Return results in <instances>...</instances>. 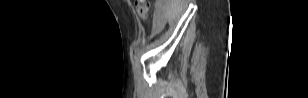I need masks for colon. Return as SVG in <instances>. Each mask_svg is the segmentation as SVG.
<instances>
[{
  "label": "colon",
  "mask_w": 308,
  "mask_h": 98,
  "mask_svg": "<svg viewBox=\"0 0 308 98\" xmlns=\"http://www.w3.org/2000/svg\"><path fill=\"white\" fill-rule=\"evenodd\" d=\"M135 8L141 18L146 19L148 17L149 6L145 0H137L135 2Z\"/></svg>",
  "instance_id": "obj_1"
}]
</instances>
